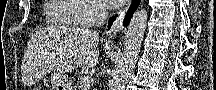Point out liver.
Listing matches in <instances>:
<instances>
[{
    "instance_id": "6515ba94",
    "label": "liver",
    "mask_w": 216,
    "mask_h": 90,
    "mask_svg": "<svg viewBox=\"0 0 216 90\" xmlns=\"http://www.w3.org/2000/svg\"><path fill=\"white\" fill-rule=\"evenodd\" d=\"M99 44L97 32L74 28L72 24L67 26L65 38H62V70H74V68H93L98 64L99 52L96 48Z\"/></svg>"
}]
</instances>
